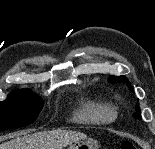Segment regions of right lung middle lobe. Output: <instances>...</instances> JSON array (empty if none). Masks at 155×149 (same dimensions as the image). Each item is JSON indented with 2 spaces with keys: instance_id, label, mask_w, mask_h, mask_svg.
<instances>
[{
  "instance_id": "right-lung-middle-lobe-1",
  "label": "right lung middle lobe",
  "mask_w": 155,
  "mask_h": 149,
  "mask_svg": "<svg viewBox=\"0 0 155 149\" xmlns=\"http://www.w3.org/2000/svg\"><path fill=\"white\" fill-rule=\"evenodd\" d=\"M43 104V100L29 90L12 91L0 102V131L32 124Z\"/></svg>"
}]
</instances>
